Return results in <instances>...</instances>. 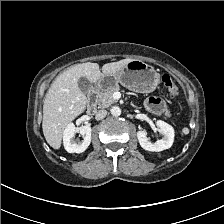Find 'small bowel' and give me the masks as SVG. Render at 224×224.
Instances as JSON below:
<instances>
[{
	"mask_svg": "<svg viewBox=\"0 0 224 224\" xmlns=\"http://www.w3.org/2000/svg\"><path fill=\"white\" fill-rule=\"evenodd\" d=\"M146 107L157 114L165 113L167 114V110L161 100L159 98H150L146 102Z\"/></svg>",
	"mask_w": 224,
	"mask_h": 224,
	"instance_id": "obj_1",
	"label": "small bowel"
}]
</instances>
